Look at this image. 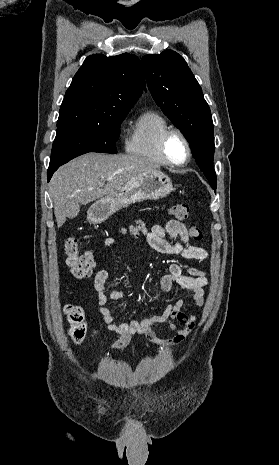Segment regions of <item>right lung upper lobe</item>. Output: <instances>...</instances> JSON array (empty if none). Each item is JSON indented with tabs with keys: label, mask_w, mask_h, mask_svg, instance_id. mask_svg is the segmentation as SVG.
<instances>
[{
	"label": "right lung upper lobe",
	"mask_w": 279,
	"mask_h": 465,
	"mask_svg": "<svg viewBox=\"0 0 279 465\" xmlns=\"http://www.w3.org/2000/svg\"><path fill=\"white\" fill-rule=\"evenodd\" d=\"M145 88L140 60L123 53L87 57L63 99L57 127L103 121L113 110H130Z\"/></svg>",
	"instance_id": "obj_1"
}]
</instances>
